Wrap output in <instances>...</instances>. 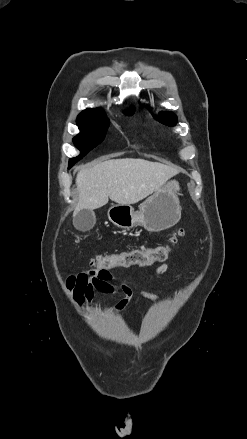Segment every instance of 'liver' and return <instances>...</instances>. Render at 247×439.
I'll return each instance as SVG.
<instances>
[{"mask_svg":"<svg viewBox=\"0 0 247 439\" xmlns=\"http://www.w3.org/2000/svg\"><path fill=\"white\" fill-rule=\"evenodd\" d=\"M178 170L144 159H111L82 168L76 177L79 191L74 216L82 209L94 210L108 203L135 204L157 191Z\"/></svg>","mask_w":247,"mask_h":439,"instance_id":"obj_1","label":"liver"}]
</instances>
